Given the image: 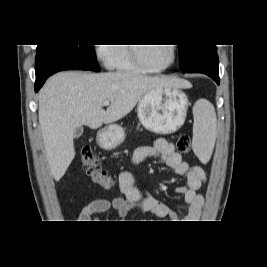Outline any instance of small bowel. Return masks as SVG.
Returning <instances> with one entry per match:
<instances>
[{
    "instance_id": "small-bowel-1",
    "label": "small bowel",
    "mask_w": 267,
    "mask_h": 267,
    "mask_svg": "<svg viewBox=\"0 0 267 267\" xmlns=\"http://www.w3.org/2000/svg\"><path fill=\"white\" fill-rule=\"evenodd\" d=\"M148 157H160L177 175L186 177V185L177 186L175 192L183 196L188 204L184 220L186 222L198 220L203 207V197L198 193V190L206 181L205 171L198 165H189L175 150L174 145L163 138L157 139L152 146L137 148L131 156V164H139ZM118 187L123 197L91 201L80 212L78 222H92L98 214L110 209H113L119 218H125L128 212L135 208L159 218L179 219L176 212L167 204L137 188L134 185L131 171L125 170L119 174Z\"/></svg>"
}]
</instances>
